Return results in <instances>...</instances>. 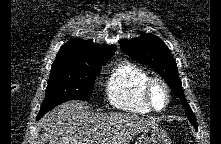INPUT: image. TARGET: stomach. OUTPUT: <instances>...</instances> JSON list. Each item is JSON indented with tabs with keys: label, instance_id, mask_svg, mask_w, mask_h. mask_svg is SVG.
I'll list each match as a JSON object with an SVG mask.
<instances>
[{
	"label": "stomach",
	"instance_id": "0dacf381",
	"mask_svg": "<svg viewBox=\"0 0 221 144\" xmlns=\"http://www.w3.org/2000/svg\"><path fill=\"white\" fill-rule=\"evenodd\" d=\"M139 144H171V140L168 133L157 126L144 130Z\"/></svg>",
	"mask_w": 221,
	"mask_h": 144
}]
</instances>
